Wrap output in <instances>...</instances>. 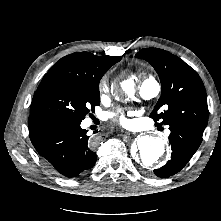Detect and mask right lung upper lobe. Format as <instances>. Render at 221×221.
<instances>
[{"instance_id": "1", "label": "right lung upper lobe", "mask_w": 221, "mask_h": 221, "mask_svg": "<svg viewBox=\"0 0 221 221\" xmlns=\"http://www.w3.org/2000/svg\"><path fill=\"white\" fill-rule=\"evenodd\" d=\"M120 56H96L90 52H78L61 58L48 72L62 71L85 79H97L115 63Z\"/></svg>"}]
</instances>
